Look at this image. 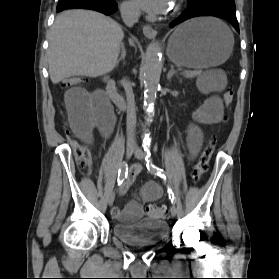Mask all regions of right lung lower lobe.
Segmentation results:
<instances>
[{
  "label": "right lung lower lobe",
  "mask_w": 279,
  "mask_h": 279,
  "mask_svg": "<svg viewBox=\"0 0 279 279\" xmlns=\"http://www.w3.org/2000/svg\"><path fill=\"white\" fill-rule=\"evenodd\" d=\"M74 8L92 9L110 15L117 10V4L114 0H59L56 11Z\"/></svg>",
  "instance_id": "right-lung-lower-lobe-1"
}]
</instances>
